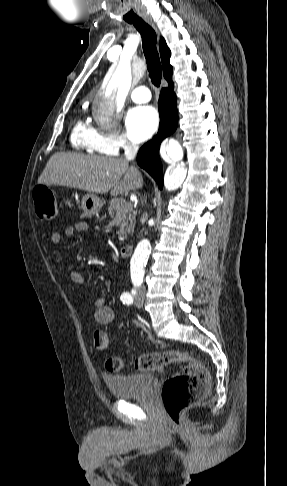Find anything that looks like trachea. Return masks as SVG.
I'll use <instances>...</instances> for the list:
<instances>
[{
	"label": "trachea",
	"instance_id": "obj_1",
	"mask_svg": "<svg viewBox=\"0 0 287 486\" xmlns=\"http://www.w3.org/2000/svg\"><path fill=\"white\" fill-rule=\"evenodd\" d=\"M133 24L142 37V47L146 58L149 77L155 86H160L162 79V67L157 51V36L154 29L142 19L129 22Z\"/></svg>",
	"mask_w": 287,
	"mask_h": 486
}]
</instances>
